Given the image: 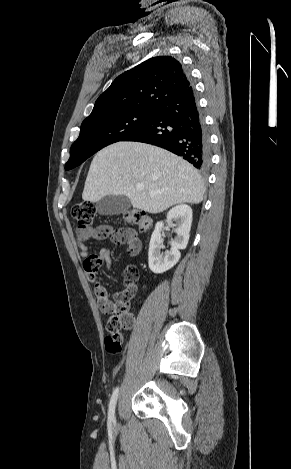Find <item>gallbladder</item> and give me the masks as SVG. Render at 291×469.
Listing matches in <instances>:
<instances>
[{
  "instance_id": "bac80fb5",
  "label": "gallbladder",
  "mask_w": 291,
  "mask_h": 469,
  "mask_svg": "<svg viewBox=\"0 0 291 469\" xmlns=\"http://www.w3.org/2000/svg\"><path fill=\"white\" fill-rule=\"evenodd\" d=\"M130 206L126 196L107 195L96 203V210L100 215L111 216L126 212Z\"/></svg>"
}]
</instances>
